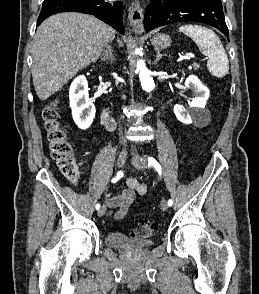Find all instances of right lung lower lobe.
<instances>
[{
    "mask_svg": "<svg viewBox=\"0 0 259 294\" xmlns=\"http://www.w3.org/2000/svg\"><path fill=\"white\" fill-rule=\"evenodd\" d=\"M70 11L92 14L121 34L125 33L122 25V3H109L105 0H49L43 2L37 26L53 14Z\"/></svg>",
    "mask_w": 259,
    "mask_h": 294,
    "instance_id": "obj_1",
    "label": "right lung lower lobe"
}]
</instances>
